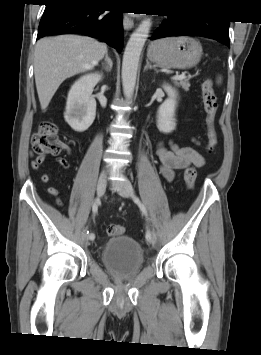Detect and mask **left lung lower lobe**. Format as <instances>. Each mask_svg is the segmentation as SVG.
<instances>
[{"label": "left lung lower lobe", "mask_w": 261, "mask_h": 355, "mask_svg": "<svg viewBox=\"0 0 261 355\" xmlns=\"http://www.w3.org/2000/svg\"><path fill=\"white\" fill-rule=\"evenodd\" d=\"M229 21L225 19H204L176 15L168 18L152 34V39L169 36H203L212 38L229 47Z\"/></svg>", "instance_id": "0a47b994"}]
</instances>
